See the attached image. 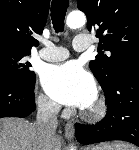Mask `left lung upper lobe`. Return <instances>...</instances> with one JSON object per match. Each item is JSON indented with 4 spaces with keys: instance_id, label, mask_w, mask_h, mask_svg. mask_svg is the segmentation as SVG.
<instances>
[{
    "instance_id": "obj_1",
    "label": "left lung upper lobe",
    "mask_w": 139,
    "mask_h": 150,
    "mask_svg": "<svg viewBox=\"0 0 139 150\" xmlns=\"http://www.w3.org/2000/svg\"><path fill=\"white\" fill-rule=\"evenodd\" d=\"M77 7L88 19L89 31L100 38L103 52L89 63L105 93L120 71L139 60V0H78Z\"/></svg>"
}]
</instances>
